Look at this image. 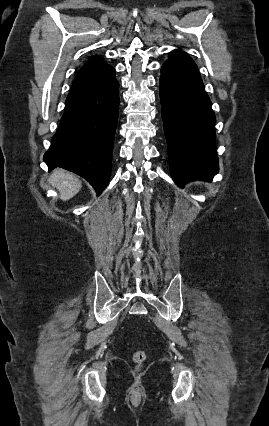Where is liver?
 Here are the masks:
<instances>
[{
	"mask_svg": "<svg viewBox=\"0 0 269 426\" xmlns=\"http://www.w3.org/2000/svg\"><path fill=\"white\" fill-rule=\"evenodd\" d=\"M49 182L59 191L63 201L71 199L82 187L81 182L73 173L63 169H55L50 175Z\"/></svg>",
	"mask_w": 269,
	"mask_h": 426,
	"instance_id": "1",
	"label": "liver"
}]
</instances>
